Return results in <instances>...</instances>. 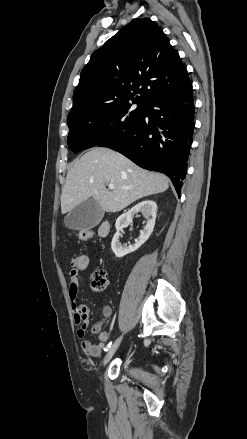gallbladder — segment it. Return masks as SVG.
Returning <instances> with one entry per match:
<instances>
[{"label": "gallbladder", "instance_id": "obj_1", "mask_svg": "<svg viewBox=\"0 0 247 439\" xmlns=\"http://www.w3.org/2000/svg\"><path fill=\"white\" fill-rule=\"evenodd\" d=\"M104 211L99 203L90 198L74 207L64 218L65 226L72 230L94 228L102 220Z\"/></svg>", "mask_w": 247, "mask_h": 439}]
</instances>
